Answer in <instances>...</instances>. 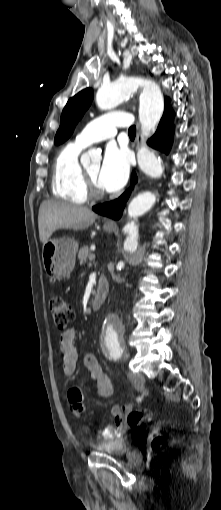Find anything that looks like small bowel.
<instances>
[{"instance_id":"small-bowel-1","label":"small bowel","mask_w":221,"mask_h":510,"mask_svg":"<svg viewBox=\"0 0 221 510\" xmlns=\"http://www.w3.org/2000/svg\"><path fill=\"white\" fill-rule=\"evenodd\" d=\"M59 350L62 358V372L67 375H73L77 366V349L75 343V330L70 329L63 332L59 337ZM84 366L90 372L91 377L97 383V395L100 398H108L114 391L112 379L102 370L96 355L88 352L83 358ZM69 409L75 416H80L85 411L83 404V392L79 388H72L67 394ZM132 410L130 405L113 406L111 414L114 417V427L111 429V435L106 437L114 439L125 433L130 426L125 421V413Z\"/></svg>"}]
</instances>
